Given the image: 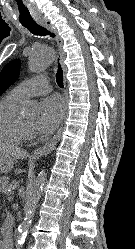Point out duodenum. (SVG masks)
Returning a JSON list of instances; mask_svg holds the SVG:
<instances>
[{"instance_id":"obj_1","label":"duodenum","mask_w":135,"mask_h":249,"mask_svg":"<svg viewBox=\"0 0 135 249\" xmlns=\"http://www.w3.org/2000/svg\"><path fill=\"white\" fill-rule=\"evenodd\" d=\"M12 242L9 239H2L0 242V247L2 249H12Z\"/></svg>"}]
</instances>
